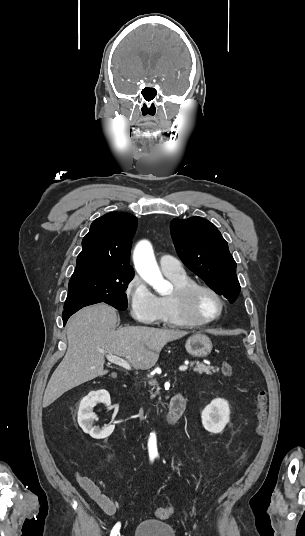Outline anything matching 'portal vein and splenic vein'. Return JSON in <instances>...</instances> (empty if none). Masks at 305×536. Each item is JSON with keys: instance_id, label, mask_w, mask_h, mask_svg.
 Segmentation results:
<instances>
[{"instance_id": "18ae733b", "label": "portal vein and splenic vein", "mask_w": 305, "mask_h": 536, "mask_svg": "<svg viewBox=\"0 0 305 536\" xmlns=\"http://www.w3.org/2000/svg\"><path fill=\"white\" fill-rule=\"evenodd\" d=\"M106 358L108 362H111V364H117V366H122V368H125V370H131L130 364L128 362H125L123 358H118V356H112V354H106ZM188 366H180L179 370L181 372H185L187 370Z\"/></svg>"}]
</instances>
